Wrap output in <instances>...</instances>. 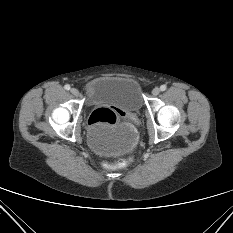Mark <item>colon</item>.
Returning <instances> with one entry per match:
<instances>
[{
	"instance_id": "5ec220e1",
	"label": "colon",
	"mask_w": 233,
	"mask_h": 233,
	"mask_svg": "<svg viewBox=\"0 0 233 233\" xmlns=\"http://www.w3.org/2000/svg\"><path fill=\"white\" fill-rule=\"evenodd\" d=\"M116 113L109 108H98L89 117L91 126H112L116 123ZM131 159H121L114 164L115 168H124L130 163Z\"/></svg>"
}]
</instances>
